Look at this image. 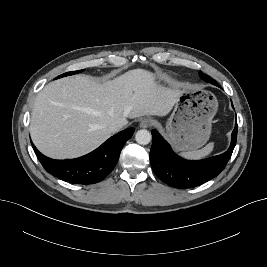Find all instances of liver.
<instances>
[{"mask_svg":"<svg viewBox=\"0 0 267 267\" xmlns=\"http://www.w3.org/2000/svg\"><path fill=\"white\" fill-rule=\"evenodd\" d=\"M167 88L152 72L134 69L99 84L86 75L46 85L37 95L30 123L33 143L55 159L76 158L111 135L109 123L145 115L165 116L181 94Z\"/></svg>","mask_w":267,"mask_h":267,"instance_id":"6515ba94","label":"liver"}]
</instances>
